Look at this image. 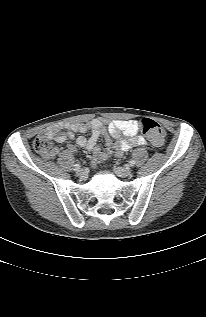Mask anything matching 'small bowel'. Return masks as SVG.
Here are the masks:
<instances>
[{"label":"small bowel","instance_id":"1","mask_svg":"<svg viewBox=\"0 0 206 317\" xmlns=\"http://www.w3.org/2000/svg\"><path fill=\"white\" fill-rule=\"evenodd\" d=\"M90 131V136L80 135L75 137V133H85ZM39 136H44L49 140L64 142L67 139H75L78 146L99 152L98 140L104 137L106 145L110 146L111 138L116 140L114 155L121 157L125 152L133 147L147 144V140L138 134V123L134 120H113L106 122L102 118H96L87 123H73L68 126L67 131L61 130L59 127H48L40 132ZM70 152H75L76 147L72 144L68 146ZM58 148H53L51 155H55ZM97 155L93 158V163L97 161Z\"/></svg>","mask_w":206,"mask_h":317}]
</instances>
